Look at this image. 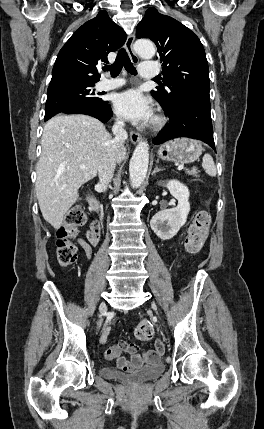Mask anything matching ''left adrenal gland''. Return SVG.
Instances as JSON below:
<instances>
[{"label": "left adrenal gland", "mask_w": 264, "mask_h": 429, "mask_svg": "<svg viewBox=\"0 0 264 429\" xmlns=\"http://www.w3.org/2000/svg\"><path fill=\"white\" fill-rule=\"evenodd\" d=\"M160 171H163V169L159 168L158 165H156V167L154 168V170L152 172V175H154L155 173L160 172Z\"/></svg>", "instance_id": "left-adrenal-gland-1"}]
</instances>
